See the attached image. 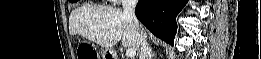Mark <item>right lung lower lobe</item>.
Segmentation results:
<instances>
[{
	"mask_svg": "<svg viewBox=\"0 0 261 59\" xmlns=\"http://www.w3.org/2000/svg\"><path fill=\"white\" fill-rule=\"evenodd\" d=\"M188 0H139L136 17L158 38L173 45L176 16Z\"/></svg>",
	"mask_w": 261,
	"mask_h": 59,
	"instance_id": "obj_1",
	"label": "right lung lower lobe"
}]
</instances>
